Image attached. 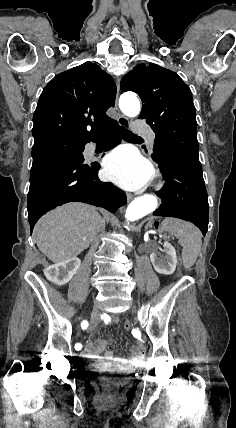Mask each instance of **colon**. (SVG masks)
I'll return each instance as SVG.
<instances>
[{"label": "colon", "instance_id": "colon-1", "mask_svg": "<svg viewBox=\"0 0 236 428\" xmlns=\"http://www.w3.org/2000/svg\"><path fill=\"white\" fill-rule=\"evenodd\" d=\"M130 327H131V325H130V323H129V322H126V323L124 324V328H125L126 330H129V329H130Z\"/></svg>", "mask_w": 236, "mask_h": 428}]
</instances>
